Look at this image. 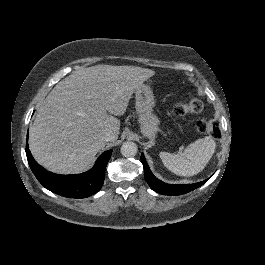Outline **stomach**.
<instances>
[{
  "instance_id": "1",
  "label": "stomach",
  "mask_w": 265,
  "mask_h": 265,
  "mask_svg": "<svg viewBox=\"0 0 265 265\" xmlns=\"http://www.w3.org/2000/svg\"><path fill=\"white\" fill-rule=\"evenodd\" d=\"M136 109L140 115L142 133L147 137H154L157 132V117L152 114L154 96L152 88L142 83L134 90Z\"/></svg>"
}]
</instances>
